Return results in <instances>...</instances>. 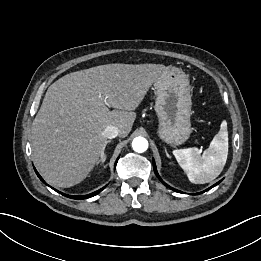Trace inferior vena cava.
Returning a JSON list of instances; mask_svg holds the SVG:
<instances>
[{"instance_id":"1","label":"inferior vena cava","mask_w":261,"mask_h":261,"mask_svg":"<svg viewBox=\"0 0 261 261\" xmlns=\"http://www.w3.org/2000/svg\"><path fill=\"white\" fill-rule=\"evenodd\" d=\"M118 134H119V129L113 125L107 126L103 131L104 137H106L108 139H113V138L117 137Z\"/></svg>"}]
</instances>
